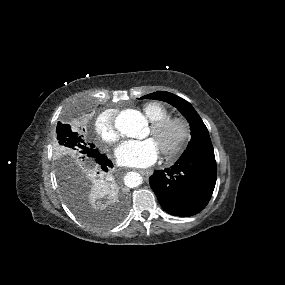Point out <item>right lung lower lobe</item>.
Returning a JSON list of instances; mask_svg holds the SVG:
<instances>
[{"label": "right lung lower lobe", "mask_w": 285, "mask_h": 285, "mask_svg": "<svg viewBox=\"0 0 285 285\" xmlns=\"http://www.w3.org/2000/svg\"><path fill=\"white\" fill-rule=\"evenodd\" d=\"M101 172L103 175V179L101 181L102 184L107 185L108 187H112V177H111V168L113 166L111 160H109L105 155L98 154V156L95 158Z\"/></svg>", "instance_id": "obj_1"}]
</instances>
